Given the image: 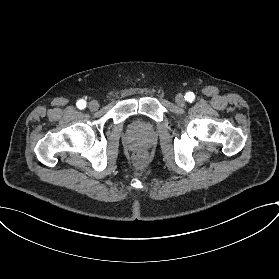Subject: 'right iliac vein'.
<instances>
[{"label":"right iliac vein","mask_w":279,"mask_h":279,"mask_svg":"<svg viewBox=\"0 0 279 279\" xmlns=\"http://www.w3.org/2000/svg\"><path fill=\"white\" fill-rule=\"evenodd\" d=\"M88 108L91 111H96L99 108V103L95 100H92L88 103Z\"/></svg>","instance_id":"63e3f726"}]
</instances>
